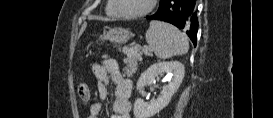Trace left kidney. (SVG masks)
<instances>
[{
	"instance_id": "obj_1",
	"label": "left kidney",
	"mask_w": 273,
	"mask_h": 118,
	"mask_svg": "<svg viewBox=\"0 0 273 118\" xmlns=\"http://www.w3.org/2000/svg\"><path fill=\"white\" fill-rule=\"evenodd\" d=\"M162 73H167V76L170 78L169 84L163 86V90L156 100L144 102L142 99H137L133 108L135 118H151L165 108L173 94L180 87L185 70L183 64L178 61L153 64L141 74L137 82V89L141 90L145 85H152L155 78Z\"/></svg>"
}]
</instances>
